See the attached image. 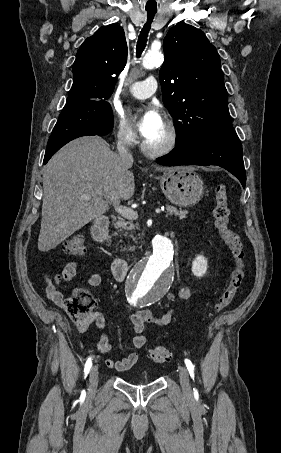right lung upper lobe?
<instances>
[{"mask_svg": "<svg viewBox=\"0 0 281 453\" xmlns=\"http://www.w3.org/2000/svg\"><path fill=\"white\" fill-rule=\"evenodd\" d=\"M127 60L124 30L116 24L101 27L88 37L73 64L74 81L66 104L108 103Z\"/></svg>", "mask_w": 281, "mask_h": 453, "instance_id": "obj_1", "label": "right lung upper lobe"}]
</instances>
